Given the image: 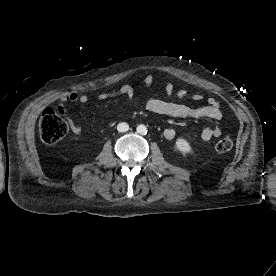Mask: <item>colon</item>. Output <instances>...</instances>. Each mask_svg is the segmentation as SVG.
Listing matches in <instances>:
<instances>
[{
	"instance_id": "5ec220e1",
	"label": "colon",
	"mask_w": 276,
	"mask_h": 276,
	"mask_svg": "<svg viewBox=\"0 0 276 276\" xmlns=\"http://www.w3.org/2000/svg\"><path fill=\"white\" fill-rule=\"evenodd\" d=\"M69 131L67 121L54 108H47L39 120V133L46 144H54L63 139ZM233 147L230 137H223L216 143V150L220 153L228 152Z\"/></svg>"
}]
</instances>
